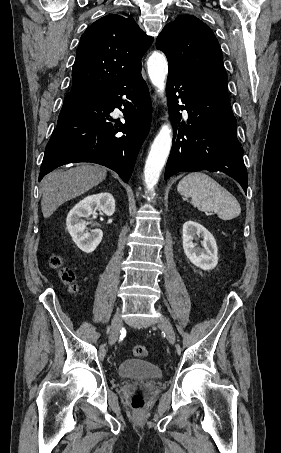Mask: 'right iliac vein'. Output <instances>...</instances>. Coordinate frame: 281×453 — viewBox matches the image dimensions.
Listing matches in <instances>:
<instances>
[{
  "label": "right iliac vein",
  "mask_w": 281,
  "mask_h": 453,
  "mask_svg": "<svg viewBox=\"0 0 281 453\" xmlns=\"http://www.w3.org/2000/svg\"><path fill=\"white\" fill-rule=\"evenodd\" d=\"M117 315L114 317V319L112 320V326L113 328L111 329V335H110V338H111V342L108 344L110 347L113 346V342L115 340H118L119 338V334H120V330H121V317L119 316L121 313L118 311L116 313Z\"/></svg>",
  "instance_id": "1"
}]
</instances>
